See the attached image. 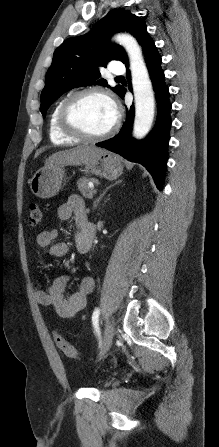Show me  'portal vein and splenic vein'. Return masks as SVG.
Instances as JSON below:
<instances>
[{
    "label": "portal vein and splenic vein",
    "mask_w": 219,
    "mask_h": 447,
    "mask_svg": "<svg viewBox=\"0 0 219 447\" xmlns=\"http://www.w3.org/2000/svg\"><path fill=\"white\" fill-rule=\"evenodd\" d=\"M89 188L94 189V185L92 182L88 183ZM94 193H96V190H93Z\"/></svg>",
    "instance_id": "obj_1"
}]
</instances>
